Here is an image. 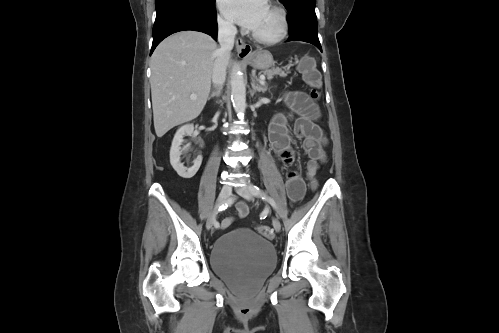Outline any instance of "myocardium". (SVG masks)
I'll return each instance as SVG.
<instances>
[{"label":"myocardium","instance_id":"1","mask_svg":"<svg viewBox=\"0 0 499 333\" xmlns=\"http://www.w3.org/2000/svg\"><path fill=\"white\" fill-rule=\"evenodd\" d=\"M269 8L279 17L280 27L278 33L272 37H263L255 32L251 33V37L255 41L265 45H272L282 41L286 37L289 30V19L286 10L277 4H270Z\"/></svg>","mask_w":499,"mask_h":333}]
</instances>
